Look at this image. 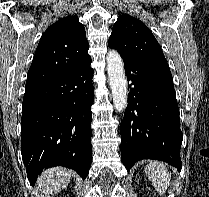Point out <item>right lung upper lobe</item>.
<instances>
[{"mask_svg": "<svg viewBox=\"0 0 209 197\" xmlns=\"http://www.w3.org/2000/svg\"><path fill=\"white\" fill-rule=\"evenodd\" d=\"M84 26L75 16L64 17L46 29L36 48L25 89L37 87L73 70L89 58Z\"/></svg>", "mask_w": 209, "mask_h": 197, "instance_id": "cb5924a9", "label": "right lung upper lobe"}]
</instances>
